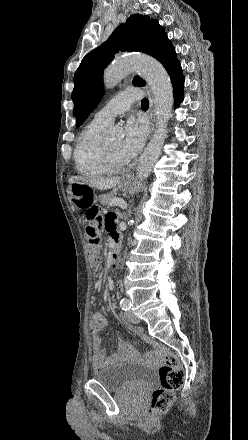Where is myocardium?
Here are the masks:
<instances>
[{
	"label": "myocardium",
	"instance_id": "1",
	"mask_svg": "<svg viewBox=\"0 0 248 440\" xmlns=\"http://www.w3.org/2000/svg\"><path fill=\"white\" fill-rule=\"evenodd\" d=\"M103 160L107 169L111 172H120L126 169L127 163L118 162L106 143H103Z\"/></svg>",
	"mask_w": 248,
	"mask_h": 440
}]
</instances>
